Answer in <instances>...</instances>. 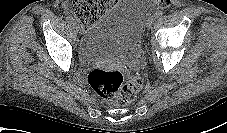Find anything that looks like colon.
<instances>
[{"label": "colon", "instance_id": "obj_1", "mask_svg": "<svg viewBox=\"0 0 227 133\" xmlns=\"http://www.w3.org/2000/svg\"><path fill=\"white\" fill-rule=\"evenodd\" d=\"M116 0H70L71 13L85 26L95 22ZM158 5L166 8L170 0H158ZM93 90L103 99L114 100L119 105L131 103L141 90L143 81L138 74L126 78L118 71L94 69L88 75Z\"/></svg>", "mask_w": 227, "mask_h": 133}]
</instances>
